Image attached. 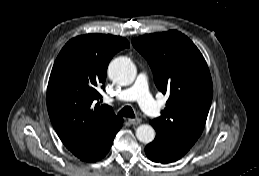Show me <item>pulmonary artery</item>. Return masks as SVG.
Here are the masks:
<instances>
[{
  "label": "pulmonary artery",
  "instance_id": "obj_1",
  "mask_svg": "<svg viewBox=\"0 0 259 176\" xmlns=\"http://www.w3.org/2000/svg\"><path fill=\"white\" fill-rule=\"evenodd\" d=\"M113 100L119 102L137 100L141 108L151 116H156L159 110L157 103L149 93L145 73H140L135 83L131 87L122 90L114 99H108V101Z\"/></svg>",
  "mask_w": 259,
  "mask_h": 176
}]
</instances>
